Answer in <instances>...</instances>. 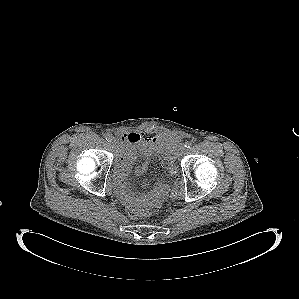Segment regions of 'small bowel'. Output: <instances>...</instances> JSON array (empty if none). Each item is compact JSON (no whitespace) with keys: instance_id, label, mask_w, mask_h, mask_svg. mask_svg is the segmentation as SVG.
<instances>
[{"instance_id":"small-bowel-1","label":"small bowel","mask_w":299,"mask_h":299,"mask_svg":"<svg viewBox=\"0 0 299 299\" xmlns=\"http://www.w3.org/2000/svg\"><path fill=\"white\" fill-rule=\"evenodd\" d=\"M123 148L118 158V183L122 196L130 200L133 194L126 183V177L140 153L144 161L135 168L137 175L144 174L150 165L153 156H159L160 165L173 176L170 167L175 163L174 149L179 139L175 135L157 134L148 136L137 132H127L121 135ZM168 192V184L159 182L155 189L148 195V200L160 202Z\"/></svg>"}]
</instances>
